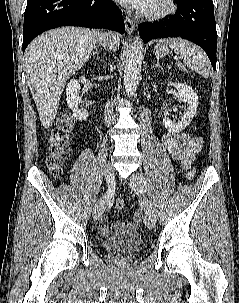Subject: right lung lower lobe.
<instances>
[{"mask_svg":"<svg viewBox=\"0 0 239 303\" xmlns=\"http://www.w3.org/2000/svg\"><path fill=\"white\" fill-rule=\"evenodd\" d=\"M60 26L106 28L121 34L125 32L121 11L112 0H27L23 52L36 36Z\"/></svg>","mask_w":239,"mask_h":303,"instance_id":"obj_1","label":"right lung lower lobe"}]
</instances>
